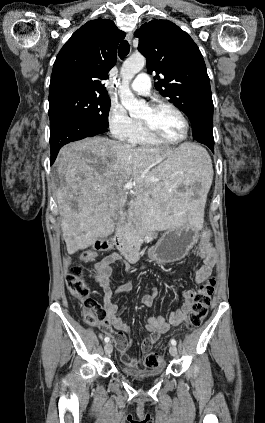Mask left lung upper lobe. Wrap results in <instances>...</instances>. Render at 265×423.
Listing matches in <instances>:
<instances>
[{
	"instance_id": "obj_1",
	"label": "left lung upper lobe",
	"mask_w": 265,
	"mask_h": 423,
	"mask_svg": "<svg viewBox=\"0 0 265 423\" xmlns=\"http://www.w3.org/2000/svg\"><path fill=\"white\" fill-rule=\"evenodd\" d=\"M134 35L139 38L138 50L146 57L148 72H156L155 88L193 123L200 105L212 100L206 65L198 46L168 20L145 23Z\"/></svg>"
}]
</instances>
